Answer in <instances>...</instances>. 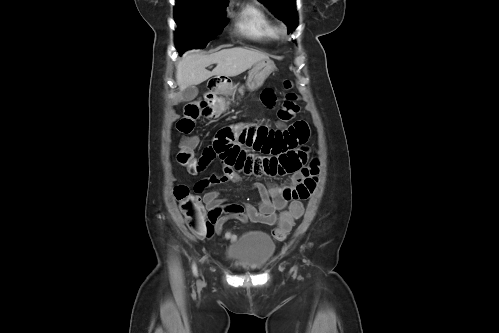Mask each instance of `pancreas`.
<instances>
[{
  "instance_id": "cf45deb5",
  "label": "pancreas",
  "mask_w": 499,
  "mask_h": 333,
  "mask_svg": "<svg viewBox=\"0 0 499 333\" xmlns=\"http://www.w3.org/2000/svg\"><path fill=\"white\" fill-rule=\"evenodd\" d=\"M238 93H239L241 96H243V95H244V86H241V87H239V88H238ZM232 96H234V94H232ZM239 98H240V97H238V99H239ZM230 101H231V100H230L229 98H226V99L222 98V102H221V109H222L223 111H225L226 109H228V108H229Z\"/></svg>"
}]
</instances>
